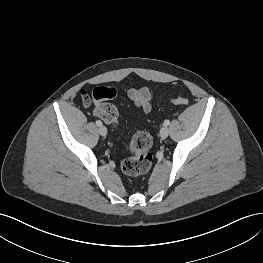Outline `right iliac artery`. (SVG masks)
Masks as SVG:
<instances>
[{
	"instance_id": "1",
	"label": "right iliac artery",
	"mask_w": 263,
	"mask_h": 263,
	"mask_svg": "<svg viewBox=\"0 0 263 263\" xmlns=\"http://www.w3.org/2000/svg\"><path fill=\"white\" fill-rule=\"evenodd\" d=\"M96 125H97V126H101V125H102V122H101L100 120H97V121H96Z\"/></svg>"
}]
</instances>
